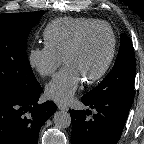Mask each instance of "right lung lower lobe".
Listing matches in <instances>:
<instances>
[{"label":"right lung lower lobe","instance_id":"1","mask_svg":"<svg viewBox=\"0 0 144 144\" xmlns=\"http://www.w3.org/2000/svg\"><path fill=\"white\" fill-rule=\"evenodd\" d=\"M41 90L38 84L26 92H0V144H38L41 126L56 111L51 101L38 104Z\"/></svg>","mask_w":144,"mask_h":144}]
</instances>
